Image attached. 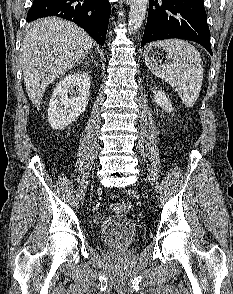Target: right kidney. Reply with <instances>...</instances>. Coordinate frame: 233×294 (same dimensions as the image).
<instances>
[{
    "label": "right kidney",
    "mask_w": 233,
    "mask_h": 294,
    "mask_svg": "<svg viewBox=\"0 0 233 294\" xmlns=\"http://www.w3.org/2000/svg\"><path fill=\"white\" fill-rule=\"evenodd\" d=\"M90 79L85 72H74L57 84L48 107V120L53 129H63L86 110Z\"/></svg>",
    "instance_id": "right-kidney-1"
}]
</instances>
